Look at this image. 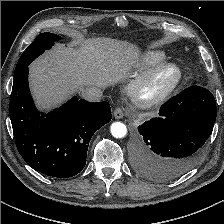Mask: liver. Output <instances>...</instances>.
<instances>
[{"instance_id": "6515ba94", "label": "liver", "mask_w": 224, "mask_h": 224, "mask_svg": "<svg viewBox=\"0 0 224 224\" xmlns=\"http://www.w3.org/2000/svg\"><path fill=\"white\" fill-rule=\"evenodd\" d=\"M139 49L126 41L89 38L56 47L30 65L33 96L41 109L66 100L77 89L105 88L128 77Z\"/></svg>"}]
</instances>
